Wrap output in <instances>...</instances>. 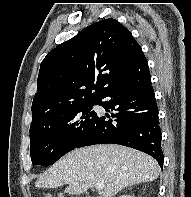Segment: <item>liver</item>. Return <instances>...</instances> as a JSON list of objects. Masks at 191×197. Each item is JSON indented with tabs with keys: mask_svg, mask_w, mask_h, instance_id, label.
<instances>
[{
	"mask_svg": "<svg viewBox=\"0 0 191 197\" xmlns=\"http://www.w3.org/2000/svg\"><path fill=\"white\" fill-rule=\"evenodd\" d=\"M160 174L157 161L138 150L116 144H99L72 150L35 182L36 188H57L82 194L103 183L102 197H112L125 187L155 180Z\"/></svg>",
	"mask_w": 191,
	"mask_h": 197,
	"instance_id": "obj_1",
	"label": "liver"
}]
</instances>
